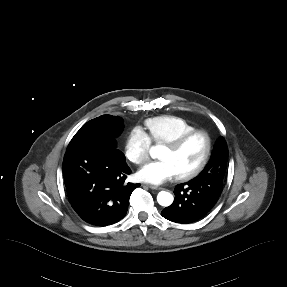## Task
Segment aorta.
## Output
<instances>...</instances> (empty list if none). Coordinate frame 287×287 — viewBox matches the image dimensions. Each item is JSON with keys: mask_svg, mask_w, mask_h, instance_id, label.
<instances>
[{"mask_svg": "<svg viewBox=\"0 0 287 287\" xmlns=\"http://www.w3.org/2000/svg\"><path fill=\"white\" fill-rule=\"evenodd\" d=\"M161 149H162L161 145H156V146L151 147L150 149L151 157L157 158ZM173 200H174L173 195L166 191H160L157 195V201L159 205L164 206V207L170 206Z\"/></svg>", "mask_w": 287, "mask_h": 287, "instance_id": "aorta-1", "label": "aorta"}]
</instances>
